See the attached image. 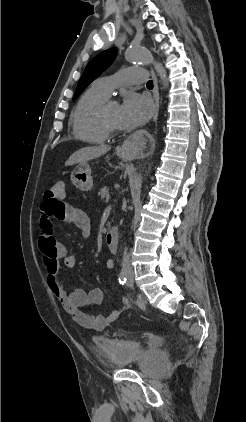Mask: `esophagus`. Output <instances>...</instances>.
Here are the masks:
<instances>
[{
  "mask_svg": "<svg viewBox=\"0 0 246 422\" xmlns=\"http://www.w3.org/2000/svg\"><path fill=\"white\" fill-rule=\"evenodd\" d=\"M152 77L154 81L153 95H154V101H155L154 121L156 122L157 117H158V112H159V89H158L157 77L153 71H152ZM147 145H150V147L154 148L155 141L152 136L143 138V137H139L138 135H132L126 140L124 144V150L128 154H143L146 151Z\"/></svg>",
  "mask_w": 246,
  "mask_h": 422,
  "instance_id": "esophagus-1",
  "label": "esophagus"
}]
</instances>
